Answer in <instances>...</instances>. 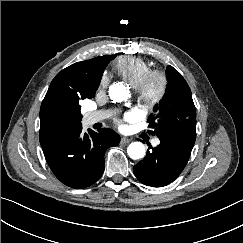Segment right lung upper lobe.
<instances>
[{"label":"right lung upper lobe","instance_id":"cb5924a9","mask_svg":"<svg viewBox=\"0 0 243 243\" xmlns=\"http://www.w3.org/2000/svg\"><path fill=\"white\" fill-rule=\"evenodd\" d=\"M108 56L74 63L54 77L40 108L39 136L81 126L79 102L95 95Z\"/></svg>","mask_w":243,"mask_h":243}]
</instances>
